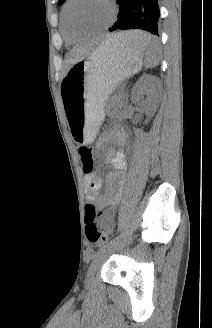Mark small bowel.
I'll return each instance as SVG.
<instances>
[{
    "mask_svg": "<svg viewBox=\"0 0 212 328\" xmlns=\"http://www.w3.org/2000/svg\"><path fill=\"white\" fill-rule=\"evenodd\" d=\"M116 133L108 136L115 137ZM106 162L111 164L115 169L107 177L110 191L99 196L102 187V182L97 179L93 172L85 173V182L89 191L88 200L94 203L98 208L105 209L100 218V224L107 232H111L114 227L116 208L119 205L122 189L125 182L126 156L123 151L113 152L106 151Z\"/></svg>",
    "mask_w": 212,
    "mask_h": 328,
    "instance_id": "1",
    "label": "small bowel"
}]
</instances>
